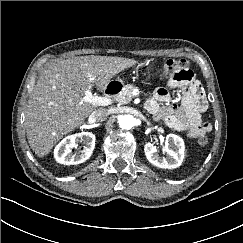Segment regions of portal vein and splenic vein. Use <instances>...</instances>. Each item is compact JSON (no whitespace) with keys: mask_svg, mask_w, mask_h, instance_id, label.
<instances>
[{"mask_svg":"<svg viewBox=\"0 0 243 243\" xmlns=\"http://www.w3.org/2000/svg\"><path fill=\"white\" fill-rule=\"evenodd\" d=\"M84 102L96 105V106H108L112 104V99L105 96H95L92 94V87L88 86L85 91V96L82 99Z\"/></svg>","mask_w":243,"mask_h":243,"instance_id":"obj_1","label":"portal vein and splenic vein"}]
</instances>
